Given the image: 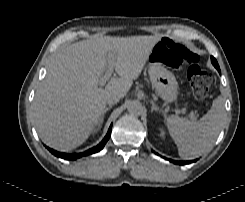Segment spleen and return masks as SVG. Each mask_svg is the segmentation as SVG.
<instances>
[{"mask_svg": "<svg viewBox=\"0 0 245 202\" xmlns=\"http://www.w3.org/2000/svg\"><path fill=\"white\" fill-rule=\"evenodd\" d=\"M225 118L224 100L221 97L213 101L211 109L198 121H188L179 116L166 118L170 136L183 159L200 156L211 148L219 135Z\"/></svg>", "mask_w": 245, "mask_h": 202, "instance_id": "1", "label": "spleen"}]
</instances>
